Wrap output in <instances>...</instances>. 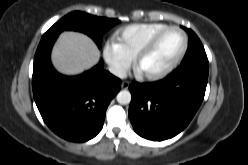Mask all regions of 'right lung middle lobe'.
<instances>
[{
    "mask_svg": "<svg viewBox=\"0 0 248 165\" xmlns=\"http://www.w3.org/2000/svg\"><path fill=\"white\" fill-rule=\"evenodd\" d=\"M119 22L118 19L102 18L80 11H74L56 22L43 35L42 39L58 36L64 30H75L90 36L98 47L101 48L103 34Z\"/></svg>",
    "mask_w": 248,
    "mask_h": 165,
    "instance_id": "dd1d6c3e",
    "label": "right lung middle lobe"
}]
</instances>
